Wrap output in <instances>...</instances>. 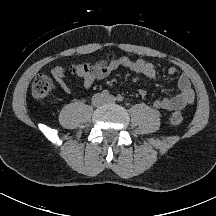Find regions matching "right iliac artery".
I'll list each match as a JSON object with an SVG mask.
<instances>
[{"label": "right iliac artery", "instance_id": "82829eb1", "mask_svg": "<svg viewBox=\"0 0 216 216\" xmlns=\"http://www.w3.org/2000/svg\"><path fill=\"white\" fill-rule=\"evenodd\" d=\"M101 94H102L103 97H108L109 96V91L105 89V90L102 91Z\"/></svg>", "mask_w": 216, "mask_h": 216}]
</instances>
